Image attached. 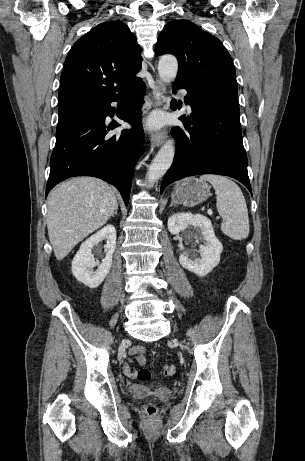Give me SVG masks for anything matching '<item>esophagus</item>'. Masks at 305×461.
I'll return each mask as SVG.
<instances>
[{"mask_svg": "<svg viewBox=\"0 0 305 461\" xmlns=\"http://www.w3.org/2000/svg\"><path fill=\"white\" fill-rule=\"evenodd\" d=\"M166 91V87L164 85V83L162 82L161 79H159L158 77H156L155 79V89L153 91V103H154V107H160V106H165V96H164V92ZM166 136H167V131L164 129L162 131H155V132H152L151 133V136H150V141L152 144H154L155 146L159 147L160 145H162L166 139Z\"/></svg>", "mask_w": 305, "mask_h": 461, "instance_id": "1", "label": "esophagus"}]
</instances>
